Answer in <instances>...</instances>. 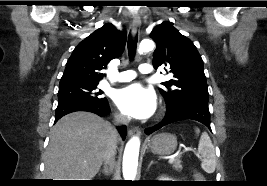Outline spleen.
Wrapping results in <instances>:
<instances>
[{
  "instance_id": "1",
  "label": "spleen",
  "mask_w": 267,
  "mask_h": 186,
  "mask_svg": "<svg viewBox=\"0 0 267 186\" xmlns=\"http://www.w3.org/2000/svg\"><path fill=\"white\" fill-rule=\"evenodd\" d=\"M196 132L199 133V129H196ZM198 152L202 157V169L208 173H213L216 167L215 149L209 135L206 132L202 133L200 137Z\"/></svg>"
}]
</instances>
